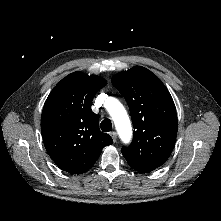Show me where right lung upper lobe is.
I'll use <instances>...</instances> for the list:
<instances>
[{
    "label": "right lung upper lobe",
    "mask_w": 221,
    "mask_h": 221,
    "mask_svg": "<svg viewBox=\"0 0 221 221\" xmlns=\"http://www.w3.org/2000/svg\"><path fill=\"white\" fill-rule=\"evenodd\" d=\"M106 84L102 77L74 72L63 78L45 101L43 142L51 159L66 172H86L102 149L113 143L99 130L98 116L90 107L95 94Z\"/></svg>",
    "instance_id": "right-lung-upper-lobe-1"
}]
</instances>
